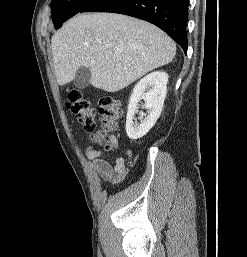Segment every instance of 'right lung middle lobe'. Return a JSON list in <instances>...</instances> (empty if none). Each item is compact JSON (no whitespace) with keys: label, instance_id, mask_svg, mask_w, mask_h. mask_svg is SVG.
Instances as JSON below:
<instances>
[{"label":"right lung middle lobe","instance_id":"dd1d6c3e","mask_svg":"<svg viewBox=\"0 0 247 257\" xmlns=\"http://www.w3.org/2000/svg\"><path fill=\"white\" fill-rule=\"evenodd\" d=\"M92 0H52V21L54 27L59 29L62 24L77 14Z\"/></svg>","mask_w":247,"mask_h":257}]
</instances>
